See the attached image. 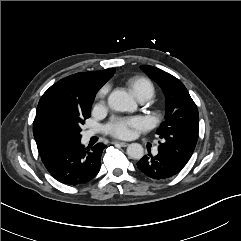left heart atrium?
I'll use <instances>...</instances> for the list:
<instances>
[{"label": "left heart atrium", "mask_w": 241, "mask_h": 241, "mask_svg": "<svg viewBox=\"0 0 241 241\" xmlns=\"http://www.w3.org/2000/svg\"><path fill=\"white\" fill-rule=\"evenodd\" d=\"M145 127L146 121L141 117L115 118L108 124L107 130L114 137L128 139L133 135L134 130Z\"/></svg>", "instance_id": "39dd6f15"}]
</instances>
